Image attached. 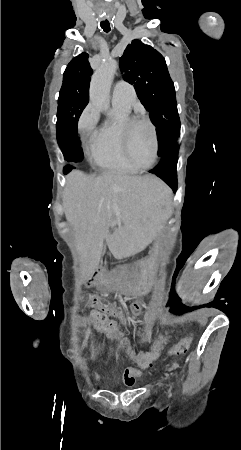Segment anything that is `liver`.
I'll use <instances>...</instances> for the list:
<instances>
[{
    "label": "liver",
    "instance_id": "obj_1",
    "mask_svg": "<svg viewBox=\"0 0 241 450\" xmlns=\"http://www.w3.org/2000/svg\"><path fill=\"white\" fill-rule=\"evenodd\" d=\"M169 188L155 176L103 172L88 176L73 170L66 176L64 214L75 230L76 254L82 276L95 274L104 242L115 254L122 224H146L154 230V214L167 202Z\"/></svg>",
    "mask_w": 241,
    "mask_h": 450
}]
</instances>
